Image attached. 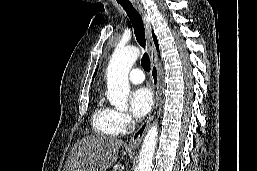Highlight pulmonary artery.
Wrapping results in <instances>:
<instances>
[{"mask_svg": "<svg viewBox=\"0 0 257 171\" xmlns=\"http://www.w3.org/2000/svg\"><path fill=\"white\" fill-rule=\"evenodd\" d=\"M129 80L133 84H141L145 80V75L141 69L134 68L129 73Z\"/></svg>", "mask_w": 257, "mask_h": 171, "instance_id": "1", "label": "pulmonary artery"}]
</instances>
